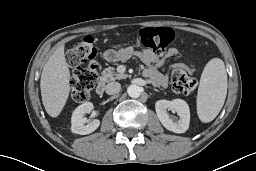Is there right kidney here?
I'll list each match as a JSON object with an SVG mask.
<instances>
[{
  "label": "right kidney",
  "instance_id": "obj_1",
  "mask_svg": "<svg viewBox=\"0 0 256 171\" xmlns=\"http://www.w3.org/2000/svg\"><path fill=\"white\" fill-rule=\"evenodd\" d=\"M93 109V104L91 102H85L79 105L73 112L71 117V131L75 134L86 135L94 132L100 125L98 119H94L89 124L87 123V118L84 117L86 113H90Z\"/></svg>",
  "mask_w": 256,
  "mask_h": 171
}]
</instances>
